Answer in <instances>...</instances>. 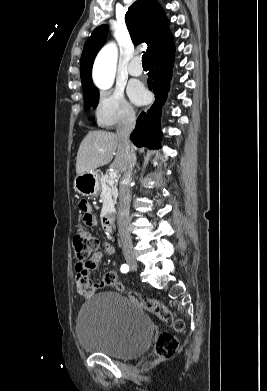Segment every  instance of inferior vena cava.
Returning <instances> with one entry per match:
<instances>
[{"label": "inferior vena cava", "instance_id": "inferior-vena-cava-1", "mask_svg": "<svg viewBox=\"0 0 267 391\" xmlns=\"http://www.w3.org/2000/svg\"><path fill=\"white\" fill-rule=\"evenodd\" d=\"M135 124V113L127 112L116 128V135L118 136L122 146L125 148L128 161L127 169L123 174V183L120 190L118 206V231L122 243V249L125 253L131 252L133 249L132 240L128 230L131 201L129 185L131 182L132 170L136 162V155L129 140V136L134 130Z\"/></svg>", "mask_w": 267, "mask_h": 391}]
</instances>
